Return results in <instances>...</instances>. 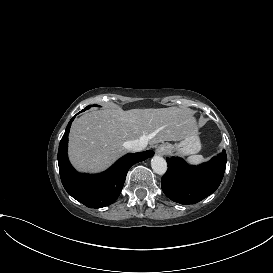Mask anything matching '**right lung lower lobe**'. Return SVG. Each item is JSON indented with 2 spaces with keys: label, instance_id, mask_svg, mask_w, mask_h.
<instances>
[{
  "label": "right lung lower lobe",
  "instance_id": "obj_1",
  "mask_svg": "<svg viewBox=\"0 0 273 273\" xmlns=\"http://www.w3.org/2000/svg\"><path fill=\"white\" fill-rule=\"evenodd\" d=\"M85 110L87 109L80 112ZM73 120L74 118L67 125L58 149L59 173L62 184L68 194L87 207L102 208L108 206L114 203L120 195L130 167L152 157L154 152L148 150L134 154L129 153L103 173L96 175L80 174L71 166L67 156L68 132Z\"/></svg>",
  "mask_w": 273,
  "mask_h": 273
}]
</instances>
